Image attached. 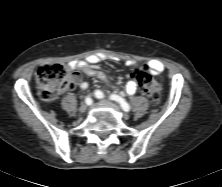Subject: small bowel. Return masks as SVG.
<instances>
[{
    "label": "small bowel",
    "instance_id": "c3829d8e",
    "mask_svg": "<svg viewBox=\"0 0 222 187\" xmlns=\"http://www.w3.org/2000/svg\"><path fill=\"white\" fill-rule=\"evenodd\" d=\"M106 57L104 55L98 54V55H90L89 57L86 58L85 61H73L70 63V66L73 69L79 70L81 72H83L84 74H87L89 76H95L98 79H100L101 81H106L107 77L106 75L99 71L96 67V65L104 60ZM128 67H131L134 65L133 61H128L127 63ZM145 69L149 72H151L152 74H160L163 72L164 70V66L163 64L158 61V60H151L149 61L146 66ZM76 84L79 86V88L81 90H86L87 89V83L80 81L79 78H76L75 80ZM138 89V83L136 80V77L133 76V78L127 83L126 85V93L128 95H133L136 93Z\"/></svg>",
    "mask_w": 222,
    "mask_h": 187
}]
</instances>
